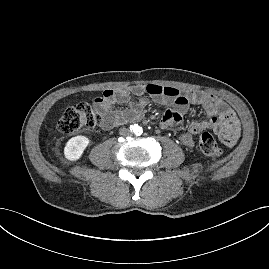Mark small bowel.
<instances>
[{"instance_id": "1", "label": "small bowel", "mask_w": 269, "mask_h": 269, "mask_svg": "<svg viewBox=\"0 0 269 269\" xmlns=\"http://www.w3.org/2000/svg\"><path fill=\"white\" fill-rule=\"evenodd\" d=\"M148 94L159 104L171 105L161 118L160 127L166 129L177 127L183 121V116L190 105H199L205 111V118L192 121L188 131L180 134L179 139L186 147H193V135L205 130H213L220 140L227 146H234L240 136V123L233 110L219 97L202 92L188 91L181 93L174 87H163L155 84L146 86L134 85L125 89H106L94 100L96 109L102 114V128L111 130L121 124L139 120L148 105V98L141 97L138 101H131V95ZM120 104H128L125 110H118Z\"/></svg>"}]
</instances>
